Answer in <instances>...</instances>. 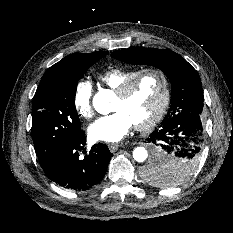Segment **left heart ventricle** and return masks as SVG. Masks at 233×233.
<instances>
[{
  "label": "left heart ventricle",
  "instance_id": "left-heart-ventricle-1",
  "mask_svg": "<svg viewBox=\"0 0 233 233\" xmlns=\"http://www.w3.org/2000/svg\"><path fill=\"white\" fill-rule=\"evenodd\" d=\"M161 82L156 75L143 76L135 84L128 96L122 98L116 95L113 111H125L134 124L149 119L156 111L161 99Z\"/></svg>",
  "mask_w": 233,
  "mask_h": 233
}]
</instances>
